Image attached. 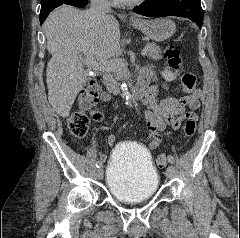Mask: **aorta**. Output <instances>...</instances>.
I'll return each mask as SVG.
<instances>
[{
  "label": "aorta",
  "instance_id": "1",
  "mask_svg": "<svg viewBox=\"0 0 240 238\" xmlns=\"http://www.w3.org/2000/svg\"><path fill=\"white\" fill-rule=\"evenodd\" d=\"M121 91H122V96L125 98L126 105L128 107L132 108L133 104H132V101H131V95L129 93L128 86H127L126 82H123L121 84Z\"/></svg>",
  "mask_w": 240,
  "mask_h": 238
}]
</instances>
